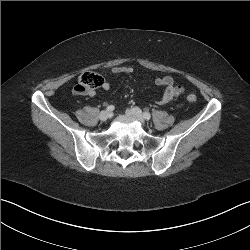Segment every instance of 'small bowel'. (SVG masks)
<instances>
[{
  "mask_svg": "<svg viewBox=\"0 0 250 250\" xmlns=\"http://www.w3.org/2000/svg\"><path fill=\"white\" fill-rule=\"evenodd\" d=\"M112 75H132L134 74V69L130 66H116L110 70ZM142 84H146L145 80H141ZM154 83L158 86L164 87V91L157 103L160 105L167 104L171 101L176 100L180 95L184 93V87L182 85H177L171 76L157 77L154 79ZM102 88L109 90L111 88V83L108 80H104ZM95 91H90L87 93L88 96H95Z\"/></svg>",
  "mask_w": 250,
  "mask_h": 250,
  "instance_id": "1",
  "label": "small bowel"
}]
</instances>
